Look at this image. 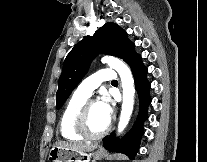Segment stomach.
<instances>
[{
	"label": "stomach",
	"instance_id": "1",
	"mask_svg": "<svg viewBox=\"0 0 207 162\" xmlns=\"http://www.w3.org/2000/svg\"><path fill=\"white\" fill-rule=\"evenodd\" d=\"M105 156L102 149H98L89 154L85 152H75L68 149L53 147L49 151V162H88L90 158L100 160Z\"/></svg>",
	"mask_w": 207,
	"mask_h": 162
}]
</instances>
